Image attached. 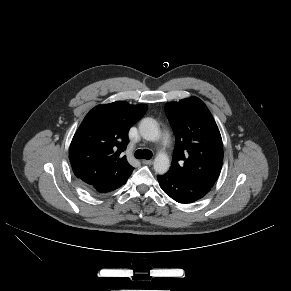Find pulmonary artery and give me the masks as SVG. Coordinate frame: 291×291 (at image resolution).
Here are the masks:
<instances>
[{"label": "pulmonary artery", "mask_w": 291, "mask_h": 291, "mask_svg": "<svg viewBox=\"0 0 291 291\" xmlns=\"http://www.w3.org/2000/svg\"><path fill=\"white\" fill-rule=\"evenodd\" d=\"M162 145L165 149H167L169 147V139H168V135L165 134L163 136V139H162Z\"/></svg>", "instance_id": "obj_1"}]
</instances>
